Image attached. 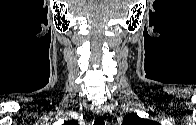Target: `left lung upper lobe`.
<instances>
[{"label":"left lung upper lobe","mask_w":196,"mask_h":125,"mask_svg":"<svg viewBox=\"0 0 196 125\" xmlns=\"http://www.w3.org/2000/svg\"><path fill=\"white\" fill-rule=\"evenodd\" d=\"M153 121L143 119L137 116V114H128L123 119V125H152Z\"/></svg>","instance_id":"obj_1"}]
</instances>
